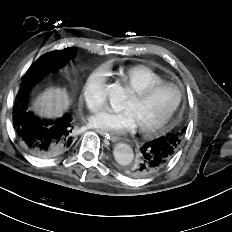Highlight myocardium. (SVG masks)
Listing matches in <instances>:
<instances>
[{
    "mask_svg": "<svg viewBox=\"0 0 232 232\" xmlns=\"http://www.w3.org/2000/svg\"><path fill=\"white\" fill-rule=\"evenodd\" d=\"M165 87L174 88L177 91V99L175 103L172 105V107L170 108V110L168 111V113L161 120H159L158 122L154 124L148 125V126L138 127L139 132L143 135L150 136L164 129L165 127H167V125L171 122L174 115L176 114V112L181 106V103L183 100V90L176 83L163 81L159 83L149 84L143 88L132 91V94L135 98H137L138 100H143L147 98L150 94L155 92L156 90H159Z\"/></svg>",
    "mask_w": 232,
    "mask_h": 232,
    "instance_id": "myocardium-1",
    "label": "myocardium"
}]
</instances>
